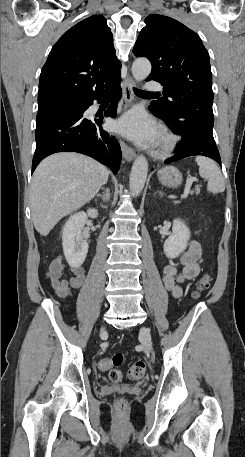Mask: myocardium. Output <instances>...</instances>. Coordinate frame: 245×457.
I'll return each instance as SVG.
<instances>
[{
    "mask_svg": "<svg viewBox=\"0 0 245 457\" xmlns=\"http://www.w3.org/2000/svg\"><path fill=\"white\" fill-rule=\"evenodd\" d=\"M176 137L168 131H163L157 142V153L165 155L170 153L176 146Z\"/></svg>",
    "mask_w": 245,
    "mask_h": 457,
    "instance_id": "f54148a6",
    "label": "myocardium"
}]
</instances>
